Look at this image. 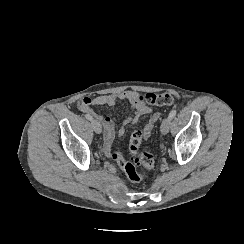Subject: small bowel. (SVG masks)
Instances as JSON below:
<instances>
[{"instance_id":"obj_1","label":"small bowel","mask_w":244,"mask_h":244,"mask_svg":"<svg viewBox=\"0 0 244 244\" xmlns=\"http://www.w3.org/2000/svg\"><path fill=\"white\" fill-rule=\"evenodd\" d=\"M137 92L127 90L117 94L98 95L96 97H83L78 103V109L81 113L88 112L94 116L96 121L100 122L104 132V151L110 153L115 139V124L111 116H102L93 109V106H115L117 101H127L133 109V116L123 121L118 129V134L122 136L125 132V127L128 123L135 124L142 116H148V120L143 128L142 135L147 138L151 135L155 124L160 117L148 105L136 106L133 103V96Z\"/></svg>"}]
</instances>
